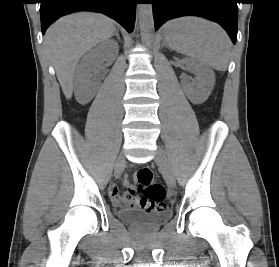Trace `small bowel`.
<instances>
[{"mask_svg": "<svg viewBox=\"0 0 279 267\" xmlns=\"http://www.w3.org/2000/svg\"><path fill=\"white\" fill-rule=\"evenodd\" d=\"M124 185L127 187V193L121 194L116 184H112L109 188V194L112 202L117 206L133 207L138 200L133 194V188L127 178L124 179Z\"/></svg>", "mask_w": 279, "mask_h": 267, "instance_id": "obj_1", "label": "small bowel"}]
</instances>
